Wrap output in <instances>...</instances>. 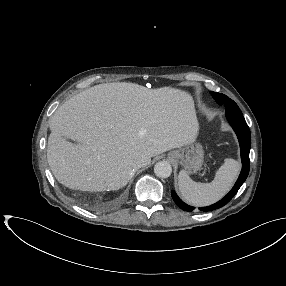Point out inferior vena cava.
I'll use <instances>...</instances> for the list:
<instances>
[{
    "mask_svg": "<svg viewBox=\"0 0 286 286\" xmlns=\"http://www.w3.org/2000/svg\"><path fill=\"white\" fill-rule=\"evenodd\" d=\"M139 167H141V165L140 164H136L134 169L139 168Z\"/></svg>",
    "mask_w": 286,
    "mask_h": 286,
    "instance_id": "602c4592",
    "label": "inferior vena cava"
}]
</instances>
